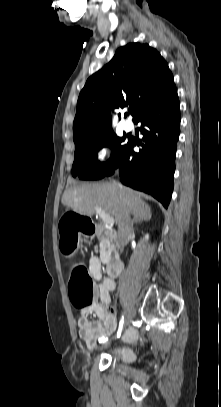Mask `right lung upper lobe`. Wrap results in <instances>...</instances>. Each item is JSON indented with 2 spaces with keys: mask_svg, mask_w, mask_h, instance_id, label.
Returning <instances> with one entry per match:
<instances>
[{
  "mask_svg": "<svg viewBox=\"0 0 221 407\" xmlns=\"http://www.w3.org/2000/svg\"><path fill=\"white\" fill-rule=\"evenodd\" d=\"M174 86L168 64L156 49L140 43L119 48L80 92L73 123L74 143L111 130V107L129 104L134 121Z\"/></svg>",
  "mask_w": 221,
  "mask_h": 407,
  "instance_id": "cb5924a9",
  "label": "right lung upper lobe"
}]
</instances>
